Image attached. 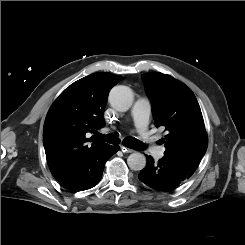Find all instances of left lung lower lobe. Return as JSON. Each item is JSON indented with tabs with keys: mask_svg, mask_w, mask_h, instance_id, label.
<instances>
[{
	"mask_svg": "<svg viewBox=\"0 0 245 245\" xmlns=\"http://www.w3.org/2000/svg\"><path fill=\"white\" fill-rule=\"evenodd\" d=\"M147 165L138 174L141 182L157 191H171L188 180L197 167L190 166L183 161L164 155L157 163L151 156Z\"/></svg>",
	"mask_w": 245,
	"mask_h": 245,
	"instance_id": "0a47b994",
	"label": "left lung lower lobe"
}]
</instances>
